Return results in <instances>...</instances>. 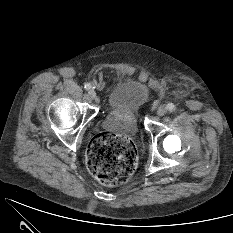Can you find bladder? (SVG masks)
<instances>
[{"label":"bladder","mask_w":233,"mask_h":233,"mask_svg":"<svg viewBox=\"0 0 233 233\" xmlns=\"http://www.w3.org/2000/svg\"><path fill=\"white\" fill-rule=\"evenodd\" d=\"M150 97L146 83L137 79H126L118 83L108 94L107 104L110 112H124L130 121L127 129H136L137 114Z\"/></svg>","instance_id":"obj_1"}]
</instances>
